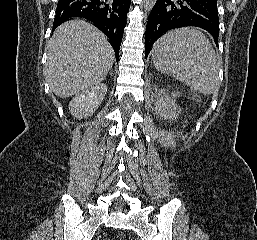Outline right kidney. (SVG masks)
Segmentation results:
<instances>
[{
    "label": "right kidney",
    "instance_id": "right-kidney-1",
    "mask_svg": "<svg viewBox=\"0 0 257 240\" xmlns=\"http://www.w3.org/2000/svg\"><path fill=\"white\" fill-rule=\"evenodd\" d=\"M107 92L105 84H98L78 93L69 103L72 116L82 119L91 116L103 101Z\"/></svg>",
    "mask_w": 257,
    "mask_h": 240
}]
</instances>
